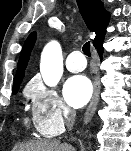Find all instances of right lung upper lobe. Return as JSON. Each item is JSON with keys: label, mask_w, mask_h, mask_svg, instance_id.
<instances>
[{"label": "right lung upper lobe", "mask_w": 131, "mask_h": 151, "mask_svg": "<svg viewBox=\"0 0 131 151\" xmlns=\"http://www.w3.org/2000/svg\"><path fill=\"white\" fill-rule=\"evenodd\" d=\"M77 4L88 29L96 34L93 45L103 42L110 15L104 10L102 2L100 0H77ZM35 40L36 32H32L24 43L18 61L13 89L19 88L22 82Z\"/></svg>", "instance_id": "right-lung-upper-lobe-1"}]
</instances>
